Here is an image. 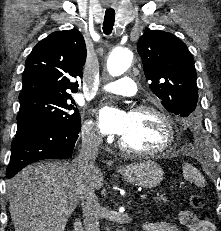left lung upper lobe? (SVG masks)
<instances>
[{
    "instance_id": "left-lung-upper-lobe-1",
    "label": "left lung upper lobe",
    "mask_w": 221,
    "mask_h": 231,
    "mask_svg": "<svg viewBox=\"0 0 221 231\" xmlns=\"http://www.w3.org/2000/svg\"><path fill=\"white\" fill-rule=\"evenodd\" d=\"M137 51L152 92L171 113L190 116L196 109L198 89L194 59L186 44L171 33L148 30Z\"/></svg>"
}]
</instances>
